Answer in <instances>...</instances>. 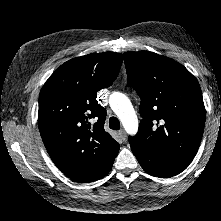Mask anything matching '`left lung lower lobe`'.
<instances>
[{
	"label": "left lung lower lobe",
	"mask_w": 221,
	"mask_h": 221,
	"mask_svg": "<svg viewBox=\"0 0 221 221\" xmlns=\"http://www.w3.org/2000/svg\"><path fill=\"white\" fill-rule=\"evenodd\" d=\"M144 171L152 176L169 178L182 172L190 163L156 151L140 150L131 146Z\"/></svg>",
	"instance_id": "1"
}]
</instances>
